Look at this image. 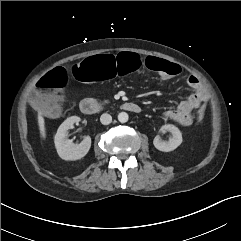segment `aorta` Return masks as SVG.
<instances>
[{"instance_id": "aorta-1", "label": "aorta", "mask_w": 241, "mask_h": 241, "mask_svg": "<svg viewBox=\"0 0 241 241\" xmlns=\"http://www.w3.org/2000/svg\"><path fill=\"white\" fill-rule=\"evenodd\" d=\"M129 119V116L126 112H120L118 114V120L120 123H126Z\"/></svg>"}]
</instances>
